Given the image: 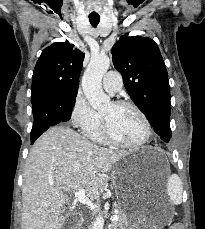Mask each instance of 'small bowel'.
Listing matches in <instances>:
<instances>
[{
  "instance_id": "1",
  "label": "small bowel",
  "mask_w": 205,
  "mask_h": 229,
  "mask_svg": "<svg viewBox=\"0 0 205 229\" xmlns=\"http://www.w3.org/2000/svg\"><path fill=\"white\" fill-rule=\"evenodd\" d=\"M170 229H181V227L178 226V225H174V226H172Z\"/></svg>"
}]
</instances>
